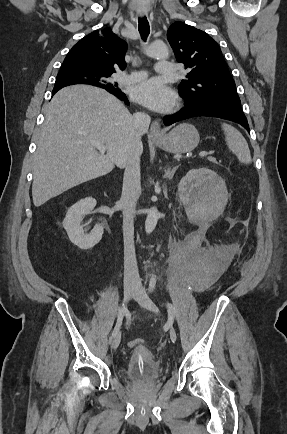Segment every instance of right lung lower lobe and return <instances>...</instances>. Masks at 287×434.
Wrapping results in <instances>:
<instances>
[{
	"instance_id": "obj_1",
	"label": "right lung lower lobe",
	"mask_w": 287,
	"mask_h": 434,
	"mask_svg": "<svg viewBox=\"0 0 287 434\" xmlns=\"http://www.w3.org/2000/svg\"><path fill=\"white\" fill-rule=\"evenodd\" d=\"M58 91V90H57ZM57 91H53L52 95H54ZM111 94L115 95L120 100L124 101L127 105L129 104L128 99L126 95L120 90V91H109Z\"/></svg>"
}]
</instances>
